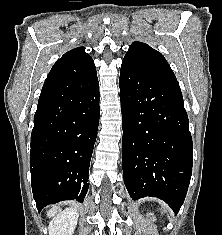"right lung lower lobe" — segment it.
I'll use <instances>...</instances> for the list:
<instances>
[{
    "label": "right lung lower lobe",
    "instance_id": "obj_1",
    "mask_svg": "<svg viewBox=\"0 0 222 235\" xmlns=\"http://www.w3.org/2000/svg\"><path fill=\"white\" fill-rule=\"evenodd\" d=\"M99 116L96 70L64 82L45 81L30 151L32 191L39 212L63 200L83 202Z\"/></svg>",
    "mask_w": 222,
    "mask_h": 235
}]
</instances>
